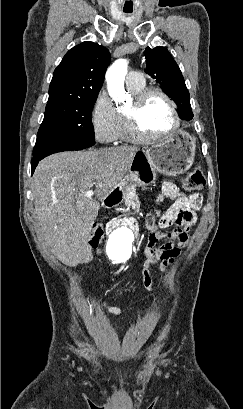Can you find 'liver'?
<instances>
[{
	"label": "liver",
	"mask_w": 243,
	"mask_h": 409,
	"mask_svg": "<svg viewBox=\"0 0 243 409\" xmlns=\"http://www.w3.org/2000/svg\"><path fill=\"white\" fill-rule=\"evenodd\" d=\"M139 151L120 146L100 150L61 152L39 162L32 178L35 212L51 252L64 264L76 266L89 250L88 237L100 204L123 184Z\"/></svg>",
	"instance_id": "1"
}]
</instances>
